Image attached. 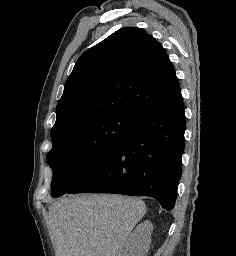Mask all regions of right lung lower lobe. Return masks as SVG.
<instances>
[{"instance_id": "1", "label": "right lung lower lobe", "mask_w": 236, "mask_h": 256, "mask_svg": "<svg viewBox=\"0 0 236 256\" xmlns=\"http://www.w3.org/2000/svg\"><path fill=\"white\" fill-rule=\"evenodd\" d=\"M186 118L181 92L143 115L67 193L150 196L170 211L182 175Z\"/></svg>"}]
</instances>
